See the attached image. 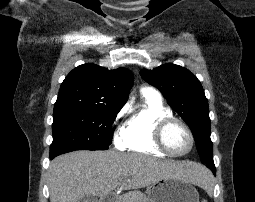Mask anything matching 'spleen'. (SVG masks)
<instances>
[{"label":"spleen","mask_w":255,"mask_h":202,"mask_svg":"<svg viewBox=\"0 0 255 202\" xmlns=\"http://www.w3.org/2000/svg\"><path fill=\"white\" fill-rule=\"evenodd\" d=\"M201 183L200 185L204 187L207 190H210L212 188V177L209 174V172L206 170L201 173ZM202 202H207L206 200H203Z\"/></svg>","instance_id":"1"}]
</instances>
